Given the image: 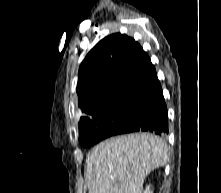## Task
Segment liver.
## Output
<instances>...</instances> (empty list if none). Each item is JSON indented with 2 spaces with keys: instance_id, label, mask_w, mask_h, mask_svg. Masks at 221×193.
<instances>
[{
  "instance_id": "liver-1",
  "label": "liver",
  "mask_w": 221,
  "mask_h": 193,
  "mask_svg": "<svg viewBox=\"0 0 221 193\" xmlns=\"http://www.w3.org/2000/svg\"><path fill=\"white\" fill-rule=\"evenodd\" d=\"M167 160V143L154 134L109 138L87 156L88 193H142L146 176Z\"/></svg>"
}]
</instances>
